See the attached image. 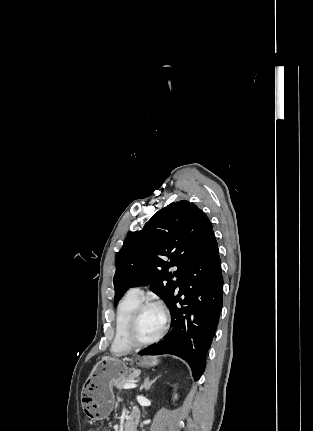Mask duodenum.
Listing matches in <instances>:
<instances>
[{
	"mask_svg": "<svg viewBox=\"0 0 313 431\" xmlns=\"http://www.w3.org/2000/svg\"><path fill=\"white\" fill-rule=\"evenodd\" d=\"M138 421V414L132 413L125 422V431H134Z\"/></svg>",
	"mask_w": 313,
	"mask_h": 431,
	"instance_id": "obj_1",
	"label": "duodenum"
}]
</instances>
